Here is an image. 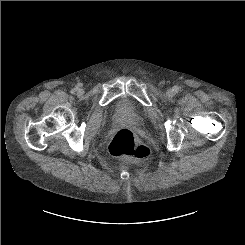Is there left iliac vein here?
Instances as JSON below:
<instances>
[{
  "instance_id": "1",
  "label": "left iliac vein",
  "mask_w": 245,
  "mask_h": 245,
  "mask_svg": "<svg viewBox=\"0 0 245 245\" xmlns=\"http://www.w3.org/2000/svg\"><path fill=\"white\" fill-rule=\"evenodd\" d=\"M173 94H174V93H173V91H172L171 89H169V90L167 91V95H168V96H173Z\"/></svg>"
}]
</instances>
